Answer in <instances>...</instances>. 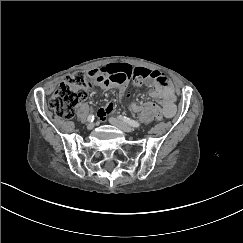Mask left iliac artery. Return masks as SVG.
Segmentation results:
<instances>
[{
	"label": "left iliac artery",
	"instance_id": "1",
	"mask_svg": "<svg viewBox=\"0 0 243 243\" xmlns=\"http://www.w3.org/2000/svg\"><path fill=\"white\" fill-rule=\"evenodd\" d=\"M119 119H121L124 123L128 124V125H131L133 127H139L140 126V123L135 121V120H132L128 117H125V116H119L118 117Z\"/></svg>",
	"mask_w": 243,
	"mask_h": 243
}]
</instances>
